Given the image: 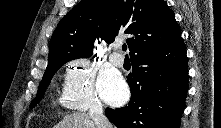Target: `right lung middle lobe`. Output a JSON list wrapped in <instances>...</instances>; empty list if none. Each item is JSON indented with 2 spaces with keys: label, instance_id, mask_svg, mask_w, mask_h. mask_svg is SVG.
<instances>
[{
  "label": "right lung middle lobe",
  "instance_id": "right-lung-middle-lobe-1",
  "mask_svg": "<svg viewBox=\"0 0 221 128\" xmlns=\"http://www.w3.org/2000/svg\"><path fill=\"white\" fill-rule=\"evenodd\" d=\"M75 59V58H69V59H64L62 61L56 62V63H52V64H48L46 71L44 73L43 79L40 83L39 89H38V93L37 96L35 97V99L32 101L31 103V107L35 106L42 98L45 92V89L47 88V86L49 85L53 75L57 72V70L64 65L66 62Z\"/></svg>",
  "mask_w": 221,
  "mask_h": 128
}]
</instances>
